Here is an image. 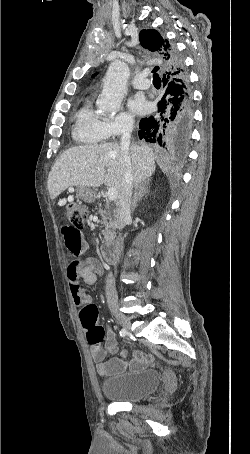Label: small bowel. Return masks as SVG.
<instances>
[{"label":"small bowel","mask_w":250,"mask_h":454,"mask_svg":"<svg viewBox=\"0 0 250 454\" xmlns=\"http://www.w3.org/2000/svg\"><path fill=\"white\" fill-rule=\"evenodd\" d=\"M62 234L65 241V246L74 256L70 259L67 266V278L70 285L72 298L75 305L81 309L84 305L91 304V296L82 287L81 281L87 285H93L98 276L102 273V266L96 259H81L85 249L84 242L80 230L73 229L70 225L62 228ZM118 352L116 336L112 329H107L105 337V348L93 346L91 354L96 363L97 372L103 376L122 372L127 368L138 369L151 361V356L143 355L140 352H135L131 361H125L122 358L107 359L108 354Z\"/></svg>","instance_id":"1"}]
</instances>
